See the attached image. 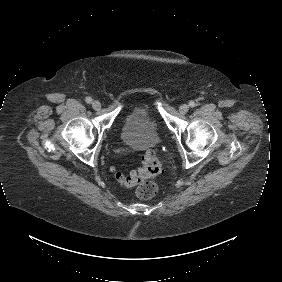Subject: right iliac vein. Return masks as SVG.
<instances>
[{"mask_svg":"<svg viewBox=\"0 0 282 282\" xmlns=\"http://www.w3.org/2000/svg\"><path fill=\"white\" fill-rule=\"evenodd\" d=\"M92 107H93L94 110H100L101 103L99 101H93L92 102Z\"/></svg>","mask_w":282,"mask_h":282,"instance_id":"right-iliac-vein-1","label":"right iliac vein"}]
</instances>
